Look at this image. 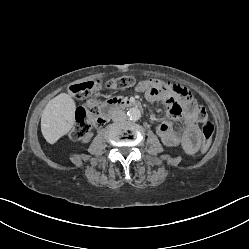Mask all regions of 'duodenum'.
Returning <instances> with one entry per match:
<instances>
[{
	"instance_id": "duodenum-1",
	"label": "duodenum",
	"mask_w": 249,
	"mask_h": 249,
	"mask_svg": "<svg viewBox=\"0 0 249 249\" xmlns=\"http://www.w3.org/2000/svg\"><path fill=\"white\" fill-rule=\"evenodd\" d=\"M122 108L142 109V104L137 100L127 98H112L102 106V120L108 119L116 110Z\"/></svg>"
}]
</instances>
